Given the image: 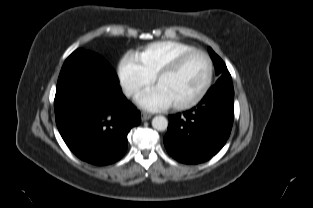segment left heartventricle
<instances>
[{
  "label": "left heart ventricle",
  "instance_id": "b2bd125f",
  "mask_svg": "<svg viewBox=\"0 0 313 208\" xmlns=\"http://www.w3.org/2000/svg\"><path fill=\"white\" fill-rule=\"evenodd\" d=\"M208 74V64L202 55L189 58L176 72L161 79L156 86L171 104L185 103L201 91Z\"/></svg>",
  "mask_w": 313,
  "mask_h": 208
}]
</instances>
